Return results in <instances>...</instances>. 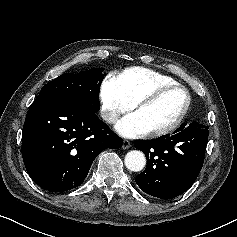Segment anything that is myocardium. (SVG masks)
Returning <instances> with one entry per match:
<instances>
[{
    "label": "myocardium",
    "mask_w": 237,
    "mask_h": 237,
    "mask_svg": "<svg viewBox=\"0 0 237 237\" xmlns=\"http://www.w3.org/2000/svg\"><path fill=\"white\" fill-rule=\"evenodd\" d=\"M174 89H180L186 95V102H185V105H184L183 109L181 110V112L178 114V116L169 125H167L163 128L148 131V134L150 136L158 137V136H163V135L169 134L172 131H174L181 124V122L185 118V116H186V114H187V112L190 108L191 94L185 86H183L179 83L165 84V85H161V86L156 87L154 90H152L151 92H149L148 94H146L145 96L140 98L134 104V109L138 110L139 108L155 101L161 95H163L165 92L170 91V90H174Z\"/></svg>",
    "instance_id": "obj_1"
}]
</instances>
